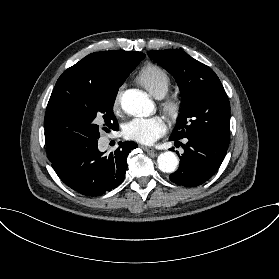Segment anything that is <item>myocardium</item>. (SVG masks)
<instances>
[{
  "instance_id": "myocardium-1",
  "label": "myocardium",
  "mask_w": 279,
  "mask_h": 279,
  "mask_svg": "<svg viewBox=\"0 0 279 279\" xmlns=\"http://www.w3.org/2000/svg\"><path fill=\"white\" fill-rule=\"evenodd\" d=\"M164 109L172 118H176L180 111V101L173 97H168L164 101Z\"/></svg>"
}]
</instances>
